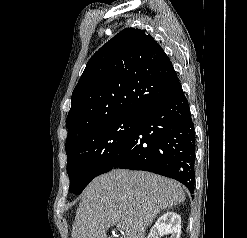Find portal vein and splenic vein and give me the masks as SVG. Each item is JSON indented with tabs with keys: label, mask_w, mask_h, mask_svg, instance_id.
<instances>
[{
	"label": "portal vein and splenic vein",
	"mask_w": 247,
	"mask_h": 238,
	"mask_svg": "<svg viewBox=\"0 0 247 238\" xmlns=\"http://www.w3.org/2000/svg\"><path fill=\"white\" fill-rule=\"evenodd\" d=\"M118 228H121L122 226L121 225H117Z\"/></svg>",
	"instance_id": "obj_1"
}]
</instances>
